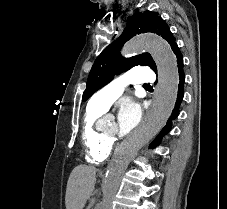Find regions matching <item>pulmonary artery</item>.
I'll return each mask as SVG.
<instances>
[{
    "label": "pulmonary artery",
    "mask_w": 227,
    "mask_h": 209,
    "mask_svg": "<svg viewBox=\"0 0 227 209\" xmlns=\"http://www.w3.org/2000/svg\"><path fill=\"white\" fill-rule=\"evenodd\" d=\"M154 78L156 73L148 70L147 66H135L130 73H120L119 77H115L106 84V88H99V91H95V95H89L88 105L106 109L122 94L125 83H154Z\"/></svg>",
    "instance_id": "pulmonary-artery-1"
}]
</instances>
